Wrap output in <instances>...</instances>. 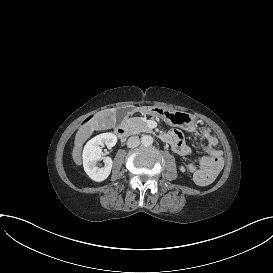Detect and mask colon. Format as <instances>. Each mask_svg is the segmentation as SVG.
<instances>
[{
  "instance_id": "colon-1",
  "label": "colon",
  "mask_w": 273,
  "mask_h": 273,
  "mask_svg": "<svg viewBox=\"0 0 273 273\" xmlns=\"http://www.w3.org/2000/svg\"><path fill=\"white\" fill-rule=\"evenodd\" d=\"M220 154H213L211 157H205L200 162L201 171L198 175V180L203 185H208L212 182L213 177L220 171Z\"/></svg>"
}]
</instances>
